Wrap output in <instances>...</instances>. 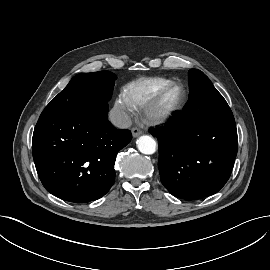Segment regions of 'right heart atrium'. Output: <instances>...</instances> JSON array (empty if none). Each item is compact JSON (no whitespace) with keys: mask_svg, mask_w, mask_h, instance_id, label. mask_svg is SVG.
Instances as JSON below:
<instances>
[{"mask_svg":"<svg viewBox=\"0 0 270 270\" xmlns=\"http://www.w3.org/2000/svg\"><path fill=\"white\" fill-rule=\"evenodd\" d=\"M114 108L118 114L119 122L126 125L130 120L132 106L124 94H119L115 99Z\"/></svg>","mask_w":270,"mask_h":270,"instance_id":"1","label":"right heart atrium"}]
</instances>
